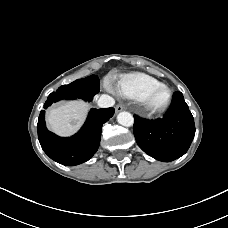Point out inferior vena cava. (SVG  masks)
I'll return each mask as SVG.
<instances>
[{
    "instance_id": "obj_1",
    "label": "inferior vena cava",
    "mask_w": 228,
    "mask_h": 228,
    "mask_svg": "<svg viewBox=\"0 0 228 228\" xmlns=\"http://www.w3.org/2000/svg\"><path fill=\"white\" fill-rule=\"evenodd\" d=\"M97 103L100 108H109L114 106L115 100L109 95H101Z\"/></svg>"
}]
</instances>
